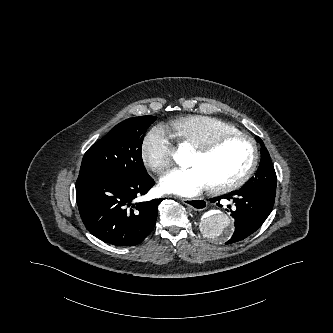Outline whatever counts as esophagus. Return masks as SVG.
<instances>
[{
  "mask_svg": "<svg viewBox=\"0 0 333 333\" xmlns=\"http://www.w3.org/2000/svg\"><path fill=\"white\" fill-rule=\"evenodd\" d=\"M181 201L187 205L192 207L194 210L201 211L204 210L207 206V203L204 199H188V198H182Z\"/></svg>",
  "mask_w": 333,
  "mask_h": 333,
  "instance_id": "34e87169",
  "label": "esophagus"
}]
</instances>
